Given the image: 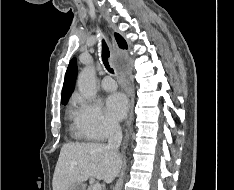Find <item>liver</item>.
<instances>
[{"label":"liver","mask_w":234,"mask_h":190,"mask_svg":"<svg viewBox=\"0 0 234 190\" xmlns=\"http://www.w3.org/2000/svg\"><path fill=\"white\" fill-rule=\"evenodd\" d=\"M122 160L100 143H66L55 167L53 190H68L90 177L111 183L120 171Z\"/></svg>","instance_id":"6515ba94"}]
</instances>
